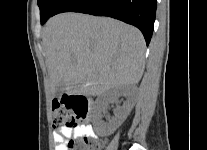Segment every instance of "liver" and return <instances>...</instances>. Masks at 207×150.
I'll return each instance as SVG.
<instances>
[{
  "label": "liver",
  "mask_w": 207,
  "mask_h": 150,
  "mask_svg": "<svg viewBox=\"0 0 207 150\" xmlns=\"http://www.w3.org/2000/svg\"><path fill=\"white\" fill-rule=\"evenodd\" d=\"M42 45L53 94L62 82L67 93L100 96L137 84L144 72L142 33L112 18L58 14L46 23Z\"/></svg>",
  "instance_id": "obj_1"
}]
</instances>
